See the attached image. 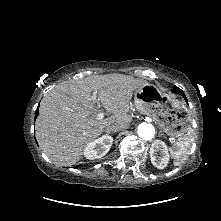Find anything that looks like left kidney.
I'll use <instances>...</instances> for the list:
<instances>
[{"mask_svg": "<svg viewBox=\"0 0 221 221\" xmlns=\"http://www.w3.org/2000/svg\"><path fill=\"white\" fill-rule=\"evenodd\" d=\"M150 158L152 164L158 169H163L169 162V153L166 144L161 140H156L150 148Z\"/></svg>", "mask_w": 221, "mask_h": 221, "instance_id": "left-kidney-1", "label": "left kidney"}]
</instances>
